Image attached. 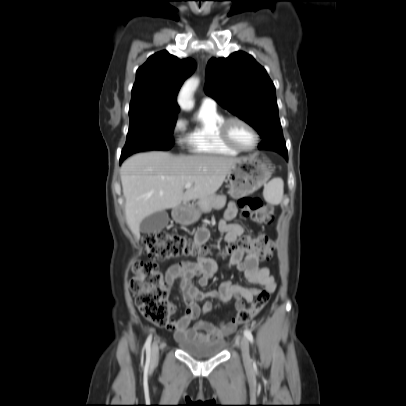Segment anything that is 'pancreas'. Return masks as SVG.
<instances>
[{"instance_id":"1","label":"pancreas","mask_w":406,"mask_h":406,"mask_svg":"<svg viewBox=\"0 0 406 406\" xmlns=\"http://www.w3.org/2000/svg\"><path fill=\"white\" fill-rule=\"evenodd\" d=\"M226 204V196L218 195L207 198H200L198 206L202 212H210L212 208L221 209Z\"/></svg>"}]
</instances>
